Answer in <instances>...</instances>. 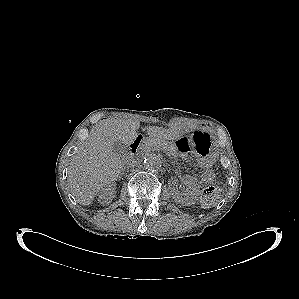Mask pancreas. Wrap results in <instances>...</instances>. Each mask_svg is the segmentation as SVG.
<instances>
[{"instance_id":"cf45deb5","label":"pancreas","mask_w":299,"mask_h":299,"mask_svg":"<svg viewBox=\"0 0 299 299\" xmlns=\"http://www.w3.org/2000/svg\"><path fill=\"white\" fill-rule=\"evenodd\" d=\"M143 150L147 152L161 150L169 156L177 157L176 147L173 144L164 140L149 139L145 141L143 145Z\"/></svg>"}]
</instances>
